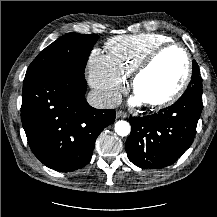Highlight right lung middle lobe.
<instances>
[{"mask_svg": "<svg viewBox=\"0 0 217 217\" xmlns=\"http://www.w3.org/2000/svg\"><path fill=\"white\" fill-rule=\"evenodd\" d=\"M98 40L96 34L67 33L43 51L32 61L25 78L58 63L67 64L80 77H84L89 54Z\"/></svg>", "mask_w": 217, "mask_h": 217, "instance_id": "1", "label": "right lung middle lobe"}]
</instances>
